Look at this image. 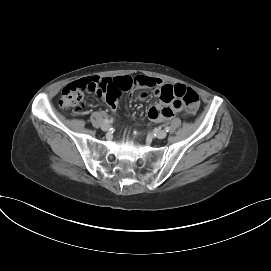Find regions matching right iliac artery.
<instances>
[{"instance_id": "right-iliac-artery-1", "label": "right iliac artery", "mask_w": 271, "mask_h": 271, "mask_svg": "<svg viewBox=\"0 0 271 271\" xmlns=\"http://www.w3.org/2000/svg\"><path fill=\"white\" fill-rule=\"evenodd\" d=\"M113 120L112 119H104V123L108 124L111 123Z\"/></svg>"}]
</instances>
